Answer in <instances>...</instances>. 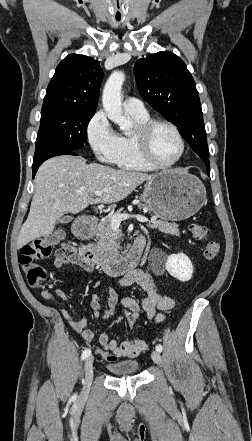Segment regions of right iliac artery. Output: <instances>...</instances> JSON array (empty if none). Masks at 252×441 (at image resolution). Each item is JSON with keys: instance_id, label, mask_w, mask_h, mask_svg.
<instances>
[{"instance_id": "obj_1", "label": "right iliac artery", "mask_w": 252, "mask_h": 441, "mask_svg": "<svg viewBox=\"0 0 252 441\" xmlns=\"http://www.w3.org/2000/svg\"><path fill=\"white\" fill-rule=\"evenodd\" d=\"M90 355H91V350L90 349H86L85 351H83L81 359L85 360Z\"/></svg>"}]
</instances>
